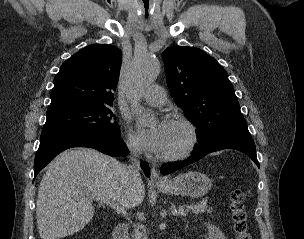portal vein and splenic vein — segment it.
Segmentation results:
<instances>
[{
    "instance_id": "18ae733b",
    "label": "portal vein and splenic vein",
    "mask_w": 304,
    "mask_h": 239,
    "mask_svg": "<svg viewBox=\"0 0 304 239\" xmlns=\"http://www.w3.org/2000/svg\"><path fill=\"white\" fill-rule=\"evenodd\" d=\"M95 200L100 202V203H105V204L115 208V205L113 204V202L111 200H106V199H103V198H100V197H96ZM117 211L121 212L123 214L126 213V211L123 208H119V207H117ZM188 212H189V209H184V208L179 209V214L181 216L186 215Z\"/></svg>"
}]
</instances>
